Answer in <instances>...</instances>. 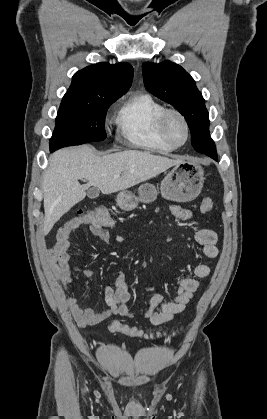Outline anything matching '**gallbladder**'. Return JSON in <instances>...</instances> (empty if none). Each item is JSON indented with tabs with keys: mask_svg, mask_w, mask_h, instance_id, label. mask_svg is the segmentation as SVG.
Returning a JSON list of instances; mask_svg holds the SVG:
<instances>
[{
	"mask_svg": "<svg viewBox=\"0 0 267 419\" xmlns=\"http://www.w3.org/2000/svg\"><path fill=\"white\" fill-rule=\"evenodd\" d=\"M99 193H100L99 188L92 187L88 190L87 195L90 199H94L99 196Z\"/></svg>",
	"mask_w": 267,
	"mask_h": 419,
	"instance_id": "gallbladder-1",
	"label": "gallbladder"
}]
</instances>
